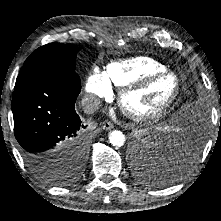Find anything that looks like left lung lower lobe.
Returning a JSON list of instances; mask_svg holds the SVG:
<instances>
[{"label": "left lung lower lobe", "instance_id": "0a47b994", "mask_svg": "<svg viewBox=\"0 0 221 221\" xmlns=\"http://www.w3.org/2000/svg\"><path fill=\"white\" fill-rule=\"evenodd\" d=\"M180 132L159 144L151 139L148 147L136 144L132 156L138 166V177L153 187L168 186L182 178L194 165L200 151L203 124L180 120Z\"/></svg>", "mask_w": 221, "mask_h": 221}]
</instances>
